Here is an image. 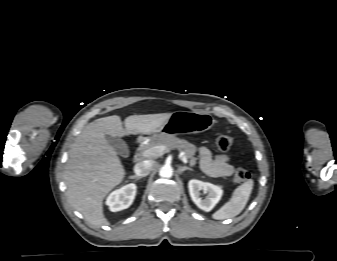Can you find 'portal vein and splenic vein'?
<instances>
[{"mask_svg": "<svg viewBox=\"0 0 337 261\" xmlns=\"http://www.w3.org/2000/svg\"><path fill=\"white\" fill-rule=\"evenodd\" d=\"M167 147L164 146V145H160V146H155V147H152L150 149H147L145 150L142 155L144 157H154V156H161L163 155L165 152H167ZM181 160L184 162V163H187L188 160L185 156V153H181Z\"/></svg>", "mask_w": 337, "mask_h": 261, "instance_id": "18ae733b", "label": "portal vein and splenic vein"}]
</instances>
